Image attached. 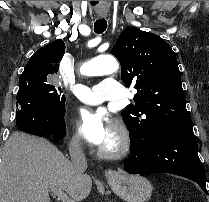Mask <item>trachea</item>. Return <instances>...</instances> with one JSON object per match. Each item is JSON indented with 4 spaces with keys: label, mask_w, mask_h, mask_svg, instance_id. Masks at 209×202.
<instances>
[{
    "label": "trachea",
    "mask_w": 209,
    "mask_h": 202,
    "mask_svg": "<svg viewBox=\"0 0 209 202\" xmlns=\"http://www.w3.org/2000/svg\"><path fill=\"white\" fill-rule=\"evenodd\" d=\"M107 28V22L104 18H99L94 23V32L97 34L103 33Z\"/></svg>",
    "instance_id": "1"
}]
</instances>
